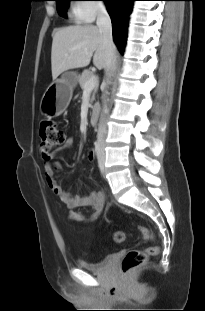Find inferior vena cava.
<instances>
[{"mask_svg":"<svg viewBox=\"0 0 205 311\" xmlns=\"http://www.w3.org/2000/svg\"><path fill=\"white\" fill-rule=\"evenodd\" d=\"M96 24L103 35V42L106 49L105 71L109 76L115 66V45L112 37L111 19L105 8H101L98 11ZM103 103V111L98 130V139L101 143L104 142V137L106 134L105 114L107 113V106L105 95H103Z\"/></svg>","mask_w":205,"mask_h":311,"instance_id":"1","label":"inferior vena cava"}]
</instances>
